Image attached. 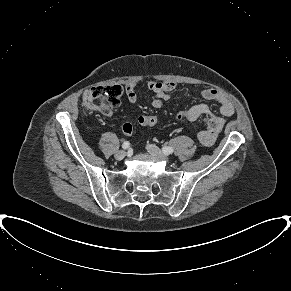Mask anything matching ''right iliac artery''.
I'll return each mask as SVG.
<instances>
[{
	"label": "right iliac artery",
	"instance_id": "obj_1",
	"mask_svg": "<svg viewBox=\"0 0 291 291\" xmlns=\"http://www.w3.org/2000/svg\"><path fill=\"white\" fill-rule=\"evenodd\" d=\"M130 147V143L128 141H125L123 144H122V148L123 149H128Z\"/></svg>",
	"mask_w": 291,
	"mask_h": 291
}]
</instances>
